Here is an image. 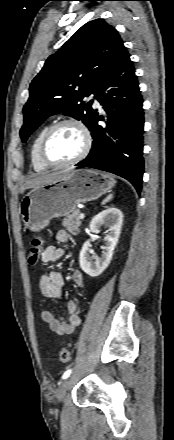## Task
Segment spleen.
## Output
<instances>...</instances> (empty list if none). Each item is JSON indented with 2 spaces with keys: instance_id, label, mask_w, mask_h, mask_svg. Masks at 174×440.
<instances>
[{
  "instance_id": "1",
  "label": "spleen",
  "mask_w": 174,
  "mask_h": 440,
  "mask_svg": "<svg viewBox=\"0 0 174 440\" xmlns=\"http://www.w3.org/2000/svg\"><path fill=\"white\" fill-rule=\"evenodd\" d=\"M112 197H113V195L110 194V195H109V196L103 201V204L106 203V202H108V201H110V200L112 199Z\"/></svg>"
}]
</instances>
